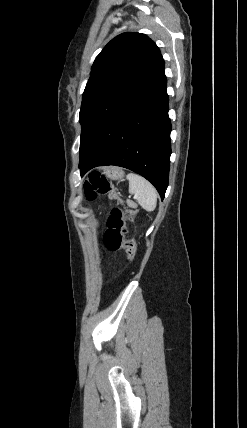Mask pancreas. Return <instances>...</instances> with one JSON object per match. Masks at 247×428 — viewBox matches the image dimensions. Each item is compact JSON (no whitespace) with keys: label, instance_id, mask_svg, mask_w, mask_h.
Here are the masks:
<instances>
[{"label":"pancreas","instance_id":"1","mask_svg":"<svg viewBox=\"0 0 247 428\" xmlns=\"http://www.w3.org/2000/svg\"><path fill=\"white\" fill-rule=\"evenodd\" d=\"M126 202H127V205H128L129 207L137 208L136 203H134L133 201H131V200H127Z\"/></svg>","mask_w":247,"mask_h":428}]
</instances>
